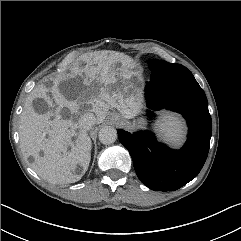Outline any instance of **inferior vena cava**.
<instances>
[{"label":"inferior vena cava","instance_id":"1","mask_svg":"<svg viewBox=\"0 0 241 241\" xmlns=\"http://www.w3.org/2000/svg\"><path fill=\"white\" fill-rule=\"evenodd\" d=\"M95 123L96 117L93 113L89 112L82 115L79 120V125L85 130H90Z\"/></svg>","mask_w":241,"mask_h":241}]
</instances>
